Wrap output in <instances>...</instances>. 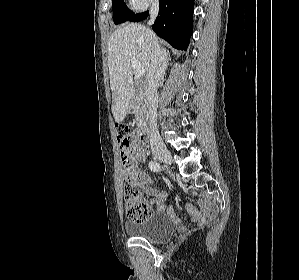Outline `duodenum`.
Here are the masks:
<instances>
[{
    "instance_id": "410a0bca",
    "label": "duodenum",
    "mask_w": 299,
    "mask_h": 280,
    "mask_svg": "<svg viewBox=\"0 0 299 280\" xmlns=\"http://www.w3.org/2000/svg\"><path fill=\"white\" fill-rule=\"evenodd\" d=\"M138 135L141 140H146L149 135V128L146 123H142L138 129Z\"/></svg>"
}]
</instances>
